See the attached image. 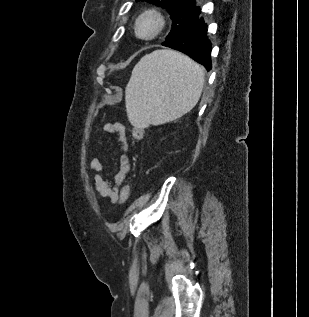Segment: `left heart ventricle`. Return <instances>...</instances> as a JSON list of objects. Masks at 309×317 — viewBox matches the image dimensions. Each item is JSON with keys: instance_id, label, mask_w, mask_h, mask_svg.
<instances>
[{"instance_id": "b2bd125f", "label": "left heart ventricle", "mask_w": 309, "mask_h": 317, "mask_svg": "<svg viewBox=\"0 0 309 317\" xmlns=\"http://www.w3.org/2000/svg\"><path fill=\"white\" fill-rule=\"evenodd\" d=\"M150 28V25L149 24H146L144 27H143V32H147Z\"/></svg>"}]
</instances>
